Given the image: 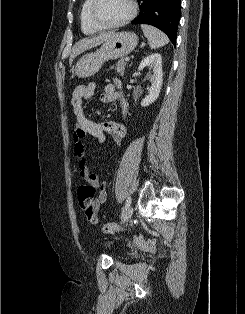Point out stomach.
Instances as JSON below:
<instances>
[{"instance_id":"stomach-1","label":"stomach","mask_w":245,"mask_h":314,"mask_svg":"<svg viewBox=\"0 0 245 314\" xmlns=\"http://www.w3.org/2000/svg\"><path fill=\"white\" fill-rule=\"evenodd\" d=\"M138 44V36L133 32L113 33L95 52L84 55L75 67L80 78L93 76L101 69L105 61L123 58L132 52Z\"/></svg>"}]
</instances>
